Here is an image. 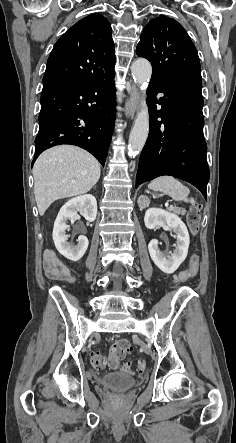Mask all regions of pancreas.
<instances>
[{"label": "pancreas", "instance_id": "obj_1", "mask_svg": "<svg viewBox=\"0 0 236 443\" xmlns=\"http://www.w3.org/2000/svg\"><path fill=\"white\" fill-rule=\"evenodd\" d=\"M169 210L178 214V215H185V213H186L185 209L179 208V207H173V208H170Z\"/></svg>", "mask_w": 236, "mask_h": 443}]
</instances>
